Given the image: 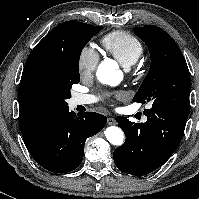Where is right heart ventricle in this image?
Returning <instances> with one entry per match:
<instances>
[{"mask_svg": "<svg viewBox=\"0 0 199 199\" xmlns=\"http://www.w3.org/2000/svg\"><path fill=\"white\" fill-rule=\"evenodd\" d=\"M101 42L104 49L125 68L133 66L144 51L141 41L126 31L111 32Z\"/></svg>", "mask_w": 199, "mask_h": 199, "instance_id": "right-heart-ventricle-1", "label": "right heart ventricle"}]
</instances>
